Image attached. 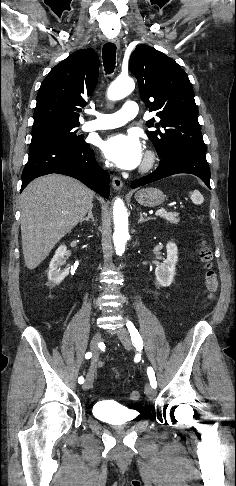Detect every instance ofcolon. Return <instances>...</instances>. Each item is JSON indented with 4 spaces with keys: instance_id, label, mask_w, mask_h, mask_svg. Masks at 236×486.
<instances>
[{
    "instance_id": "5ec220e1",
    "label": "colon",
    "mask_w": 236,
    "mask_h": 486,
    "mask_svg": "<svg viewBox=\"0 0 236 486\" xmlns=\"http://www.w3.org/2000/svg\"><path fill=\"white\" fill-rule=\"evenodd\" d=\"M199 255L200 260L205 268V282L209 297L212 298L218 287L217 276L212 266V252L208 247L202 245ZM129 398L133 401L138 400L140 398V392L137 390L131 391L129 393Z\"/></svg>"
}]
</instances>
